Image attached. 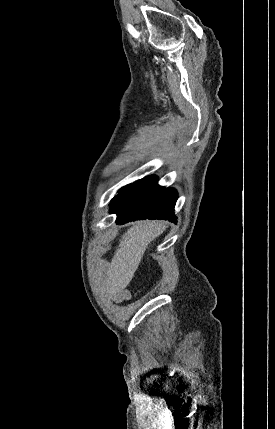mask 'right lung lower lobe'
Here are the masks:
<instances>
[{"instance_id":"right-lung-lower-lobe-1","label":"right lung lower lobe","mask_w":275,"mask_h":429,"mask_svg":"<svg viewBox=\"0 0 275 429\" xmlns=\"http://www.w3.org/2000/svg\"><path fill=\"white\" fill-rule=\"evenodd\" d=\"M177 192L157 184L156 176H148L123 188L110 203V212L117 214V223L144 219L175 221Z\"/></svg>"}]
</instances>
